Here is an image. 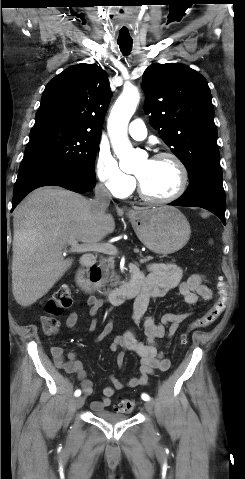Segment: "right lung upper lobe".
<instances>
[{
	"label": "right lung upper lobe",
	"mask_w": 245,
	"mask_h": 479,
	"mask_svg": "<svg viewBox=\"0 0 245 479\" xmlns=\"http://www.w3.org/2000/svg\"><path fill=\"white\" fill-rule=\"evenodd\" d=\"M111 97L107 73L95 64H78L46 86L33 128L60 126L101 135Z\"/></svg>",
	"instance_id": "cb5924a9"
}]
</instances>
